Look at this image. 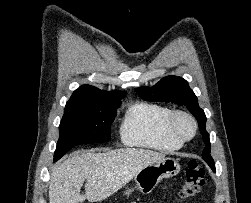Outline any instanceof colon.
<instances>
[{
  "label": "colon",
  "instance_id": "1",
  "mask_svg": "<svg viewBox=\"0 0 251 203\" xmlns=\"http://www.w3.org/2000/svg\"><path fill=\"white\" fill-rule=\"evenodd\" d=\"M205 184V169L196 161H190L185 171V182L180 190L181 199L197 196Z\"/></svg>",
  "mask_w": 251,
  "mask_h": 203
}]
</instances>
